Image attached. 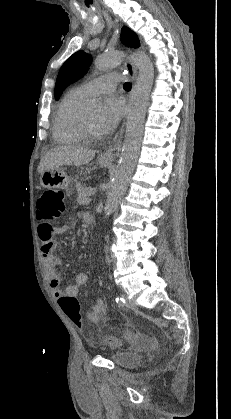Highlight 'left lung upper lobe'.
<instances>
[{"mask_svg": "<svg viewBox=\"0 0 231 419\" xmlns=\"http://www.w3.org/2000/svg\"><path fill=\"white\" fill-rule=\"evenodd\" d=\"M122 42L129 47H138L139 40L133 31L127 27L122 28L121 32ZM92 61L91 55L80 50L70 56L62 65L56 85H55V99L58 100L63 90L81 78L88 70Z\"/></svg>", "mask_w": 231, "mask_h": 419, "instance_id": "1", "label": "left lung upper lobe"}]
</instances>
